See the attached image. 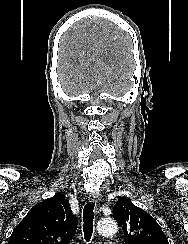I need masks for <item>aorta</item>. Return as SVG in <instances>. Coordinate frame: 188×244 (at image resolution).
I'll list each match as a JSON object with an SVG mask.
<instances>
[{
  "mask_svg": "<svg viewBox=\"0 0 188 244\" xmlns=\"http://www.w3.org/2000/svg\"><path fill=\"white\" fill-rule=\"evenodd\" d=\"M118 230L116 221L113 218H103L97 224V231L103 236H112Z\"/></svg>",
  "mask_w": 188,
  "mask_h": 244,
  "instance_id": "obj_1",
  "label": "aorta"
}]
</instances>
